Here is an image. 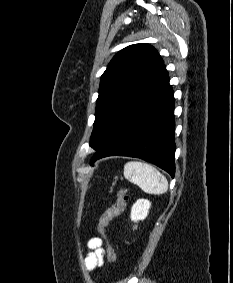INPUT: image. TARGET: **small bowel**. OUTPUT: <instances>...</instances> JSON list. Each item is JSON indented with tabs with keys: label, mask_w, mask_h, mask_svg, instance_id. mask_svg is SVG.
Wrapping results in <instances>:
<instances>
[{
	"label": "small bowel",
	"mask_w": 233,
	"mask_h": 283,
	"mask_svg": "<svg viewBox=\"0 0 233 283\" xmlns=\"http://www.w3.org/2000/svg\"><path fill=\"white\" fill-rule=\"evenodd\" d=\"M102 240L99 237H93L88 241L89 252L85 257V268L91 272L104 263L105 250L102 247Z\"/></svg>",
	"instance_id": "small-bowel-1"
}]
</instances>
